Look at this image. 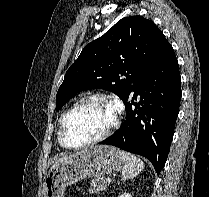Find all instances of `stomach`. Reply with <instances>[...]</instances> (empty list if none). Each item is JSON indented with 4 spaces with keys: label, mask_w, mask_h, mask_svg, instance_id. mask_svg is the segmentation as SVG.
Listing matches in <instances>:
<instances>
[{
    "label": "stomach",
    "mask_w": 209,
    "mask_h": 197,
    "mask_svg": "<svg viewBox=\"0 0 209 197\" xmlns=\"http://www.w3.org/2000/svg\"><path fill=\"white\" fill-rule=\"evenodd\" d=\"M121 151L113 146H92L53 168L45 178L44 197H64L65 188L84 178H97L123 169Z\"/></svg>",
    "instance_id": "stomach-1"
}]
</instances>
